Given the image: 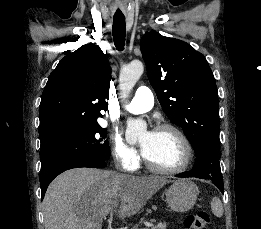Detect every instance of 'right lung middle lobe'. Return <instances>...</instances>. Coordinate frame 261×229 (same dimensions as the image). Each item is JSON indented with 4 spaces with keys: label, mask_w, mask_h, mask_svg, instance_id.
<instances>
[{
    "label": "right lung middle lobe",
    "mask_w": 261,
    "mask_h": 229,
    "mask_svg": "<svg viewBox=\"0 0 261 229\" xmlns=\"http://www.w3.org/2000/svg\"><path fill=\"white\" fill-rule=\"evenodd\" d=\"M106 136V129L96 124L72 140L40 150L41 169L58 163L90 159L108 160L110 149L108 140H105Z\"/></svg>",
    "instance_id": "1"
}]
</instances>
